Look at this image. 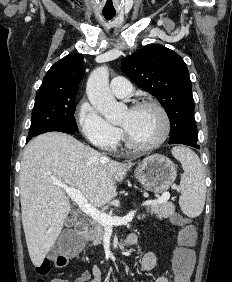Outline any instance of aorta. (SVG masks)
I'll return each mask as SVG.
<instances>
[{
	"label": "aorta",
	"mask_w": 232,
	"mask_h": 282,
	"mask_svg": "<svg viewBox=\"0 0 232 282\" xmlns=\"http://www.w3.org/2000/svg\"><path fill=\"white\" fill-rule=\"evenodd\" d=\"M86 92L92 106L110 123L120 122L126 107L118 103L110 91L107 66H100L92 71L87 81Z\"/></svg>",
	"instance_id": "1"
}]
</instances>
